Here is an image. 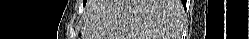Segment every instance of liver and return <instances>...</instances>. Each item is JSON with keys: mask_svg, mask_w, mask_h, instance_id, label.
Returning <instances> with one entry per match:
<instances>
[{"mask_svg": "<svg viewBox=\"0 0 249 39\" xmlns=\"http://www.w3.org/2000/svg\"><path fill=\"white\" fill-rule=\"evenodd\" d=\"M172 6V0L89 2L82 39H168Z\"/></svg>", "mask_w": 249, "mask_h": 39, "instance_id": "1", "label": "liver"}]
</instances>
